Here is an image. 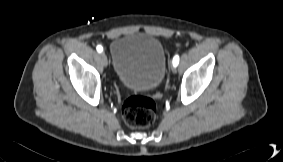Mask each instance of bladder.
<instances>
[{
	"mask_svg": "<svg viewBox=\"0 0 283 162\" xmlns=\"http://www.w3.org/2000/svg\"><path fill=\"white\" fill-rule=\"evenodd\" d=\"M112 66L117 80L133 91L157 88L166 74V55L162 43L145 33H132L111 44Z\"/></svg>",
	"mask_w": 283,
	"mask_h": 162,
	"instance_id": "31cf9c89",
	"label": "bladder"
}]
</instances>
